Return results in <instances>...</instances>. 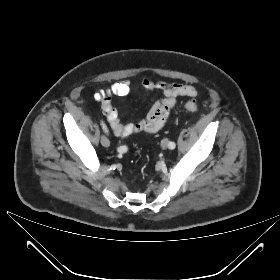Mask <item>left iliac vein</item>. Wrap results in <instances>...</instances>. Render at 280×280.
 Returning <instances> with one entry per match:
<instances>
[{"instance_id":"1","label":"left iliac vein","mask_w":280,"mask_h":280,"mask_svg":"<svg viewBox=\"0 0 280 280\" xmlns=\"http://www.w3.org/2000/svg\"><path fill=\"white\" fill-rule=\"evenodd\" d=\"M168 144H169V141H168L167 138H165V139H163V140L161 141V147H162L163 149H167V148H168Z\"/></svg>"}]
</instances>
